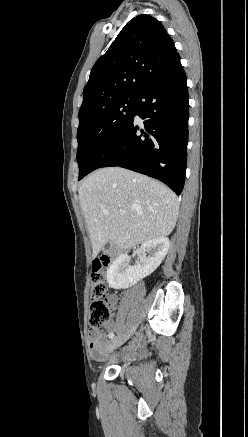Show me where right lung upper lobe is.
<instances>
[{
  "mask_svg": "<svg viewBox=\"0 0 248 437\" xmlns=\"http://www.w3.org/2000/svg\"><path fill=\"white\" fill-rule=\"evenodd\" d=\"M176 55L174 42L158 20L145 14L130 20L91 70L79 123L117 100L135 97Z\"/></svg>",
  "mask_w": 248,
  "mask_h": 437,
  "instance_id": "cb5924a9",
  "label": "right lung upper lobe"
}]
</instances>
